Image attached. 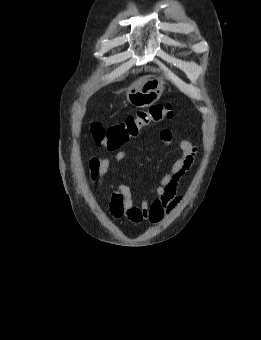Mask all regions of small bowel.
<instances>
[{"label": "small bowel", "mask_w": 261, "mask_h": 340, "mask_svg": "<svg viewBox=\"0 0 261 340\" xmlns=\"http://www.w3.org/2000/svg\"><path fill=\"white\" fill-rule=\"evenodd\" d=\"M160 140L169 145L172 132L163 128L159 133ZM181 156L173 163L169 172L164 174L158 185L152 189V200L137 203L131 188L126 184L119 185L111 194L108 211L112 218L133 224L149 222L159 223L163 217L180 201L178 187L192 168L197 149L187 140L180 142ZM128 154L125 150L118 151L111 158L91 157L88 162L89 181L98 190L104 185V177L112 165L125 166Z\"/></svg>", "instance_id": "1"}]
</instances>
